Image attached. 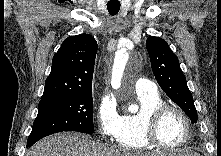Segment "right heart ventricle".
<instances>
[{
    "instance_id": "right-heart-ventricle-1",
    "label": "right heart ventricle",
    "mask_w": 221,
    "mask_h": 156,
    "mask_svg": "<svg viewBox=\"0 0 221 156\" xmlns=\"http://www.w3.org/2000/svg\"><path fill=\"white\" fill-rule=\"evenodd\" d=\"M139 110L136 113L120 116L119 128L115 140L118 145L133 150L152 149L144 135V126L148 114L157 106L163 104V100L157 92L137 93Z\"/></svg>"
}]
</instances>
